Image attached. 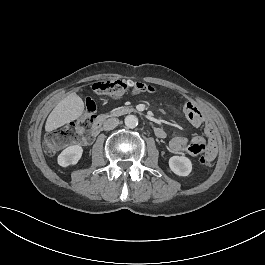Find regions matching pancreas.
Returning a JSON list of instances; mask_svg holds the SVG:
<instances>
[{
  "mask_svg": "<svg viewBox=\"0 0 265 265\" xmlns=\"http://www.w3.org/2000/svg\"><path fill=\"white\" fill-rule=\"evenodd\" d=\"M131 112H136L135 109H131V108H114V109H111L107 116L108 117H114V116H119V115H122L124 113H131Z\"/></svg>",
  "mask_w": 265,
  "mask_h": 265,
  "instance_id": "cf45deb5",
  "label": "pancreas"
}]
</instances>
